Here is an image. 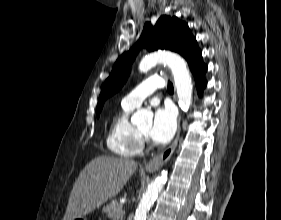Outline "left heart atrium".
Returning a JSON list of instances; mask_svg holds the SVG:
<instances>
[{
	"instance_id": "obj_1",
	"label": "left heart atrium",
	"mask_w": 281,
	"mask_h": 220,
	"mask_svg": "<svg viewBox=\"0 0 281 220\" xmlns=\"http://www.w3.org/2000/svg\"><path fill=\"white\" fill-rule=\"evenodd\" d=\"M177 120L171 107H160L155 111L149 137L158 144L168 143L175 134Z\"/></svg>"
}]
</instances>
